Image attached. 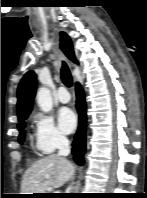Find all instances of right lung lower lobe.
<instances>
[{
    "label": "right lung lower lobe",
    "mask_w": 147,
    "mask_h": 198,
    "mask_svg": "<svg viewBox=\"0 0 147 198\" xmlns=\"http://www.w3.org/2000/svg\"><path fill=\"white\" fill-rule=\"evenodd\" d=\"M77 91V110L80 114L78 132L73 141L72 153L74 155V161L82 166L84 164L83 155L85 153V119H86V107L83 90L79 83L76 84Z\"/></svg>",
    "instance_id": "1"
}]
</instances>
